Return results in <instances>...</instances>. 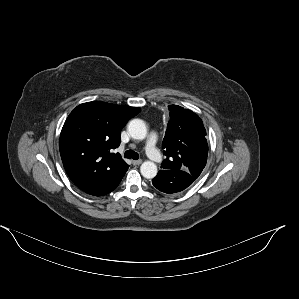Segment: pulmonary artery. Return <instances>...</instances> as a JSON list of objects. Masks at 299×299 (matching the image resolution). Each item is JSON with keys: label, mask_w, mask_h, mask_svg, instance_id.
<instances>
[{"label": "pulmonary artery", "mask_w": 299, "mask_h": 299, "mask_svg": "<svg viewBox=\"0 0 299 299\" xmlns=\"http://www.w3.org/2000/svg\"><path fill=\"white\" fill-rule=\"evenodd\" d=\"M156 142H157V136L155 133L152 132L148 136V139L145 144V149H146V152H147V155L149 156V158L153 162L159 163L162 161L163 158H162L161 154L157 151Z\"/></svg>", "instance_id": "pulmonary-artery-1"}]
</instances>
